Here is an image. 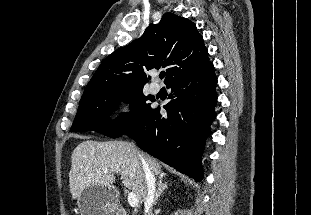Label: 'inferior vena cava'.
I'll list each match as a JSON object with an SVG mask.
<instances>
[{"instance_id": "1", "label": "inferior vena cava", "mask_w": 311, "mask_h": 215, "mask_svg": "<svg viewBox=\"0 0 311 215\" xmlns=\"http://www.w3.org/2000/svg\"><path fill=\"white\" fill-rule=\"evenodd\" d=\"M137 155L141 161L147 185V194L144 202L145 213H147V215H152V205L154 202V195L156 191V180L143 156L139 153H137Z\"/></svg>"}]
</instances>
